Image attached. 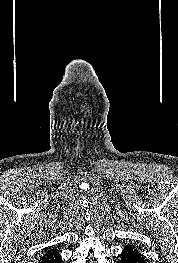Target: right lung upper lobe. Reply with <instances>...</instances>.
<instances>
[{
  "label": "right lung upper lobe",
  "mask_w": 178,
  "mask_h": 263,
  "mask_svg": "<svg viewBox=\"0 0 178 263\" xmlns=\"http://www.w3.org/2000/svg\"><path fill=\"white\" fill-rule=\"evenodd\" d=\"M56 250L55 249H53V250H48V251H46L45 252V254L43 255V256H41V258H44L45 256H47V255H49V254H51V253H53V252H55ZM40 258V259H41Z\"/></svg>",
  "instance_id": "right-lung-upper-lobe-1"
}]
</instances>
